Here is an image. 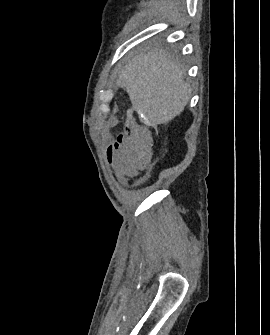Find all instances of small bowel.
Here are the masks:
<instances>
[{"label":"small bowel","mask_w":270,"mask_h":335,"mask_svg":"<svg viewBox=\"0 0 270 335\" xmlns=\"http://www.w3.org/2000/svg\"><path fill=\"white\" fill-rule=\"evenodd\" d=\"M143 127L142 121H129L126 127V134H141ZM120 144H98V151H106L101 154V161H106L107 165H120L116 173L117 178H135L137 169H144L145 165H149V158H140L142 156H157V149H149L151 138H143L142 135L119 136ZM134 156H138L134 158Z\"/></svg>","instance_id":"c3829d8e"}]
</instances>
